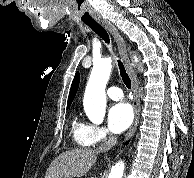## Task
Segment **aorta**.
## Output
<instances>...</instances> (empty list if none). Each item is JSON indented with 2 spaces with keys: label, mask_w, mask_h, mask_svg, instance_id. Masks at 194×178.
<instances>
[{
  "label": "aorta",
  "mask_w": 194,
  "mask_h": 178,
  "mask_svg": "<svg viewBox=\"0 0 194 178\" xmlns=\"http://www.w3.org/2000/svg\"><path fill=\"white\" fill-rule=\"evenodd\" d=\"M137 62V58L135 57ZM112 69L111 58H105L95 63L84 94V110L88 118L96 124L102 123L106 108L105 88ZM124 161H118L109 173L108 178H122Z\"/></svg>",
  "instance_id": "1"
}]
</instances>
